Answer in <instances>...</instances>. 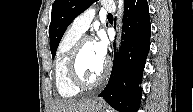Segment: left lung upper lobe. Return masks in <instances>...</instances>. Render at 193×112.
Segmentation results:
<instances>
[{"label":"left lung upper lobe","instance_id":"left-lung-upper-lobe-1","mask_svg":"<svg viewBox=\"0 0 193 112\" xmlns=\"http://www.w3.org/2000/svg\"><path fill=\"white\" fill-rule=\"evenodd\" d=\"M95 1L97 0H55L49 26L52 57H55L59 42L70 23Z\"/></svg>","mask_w":193,"mask_h":112}]
</instances>
